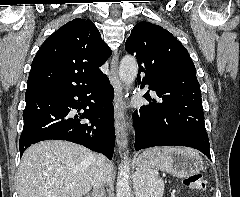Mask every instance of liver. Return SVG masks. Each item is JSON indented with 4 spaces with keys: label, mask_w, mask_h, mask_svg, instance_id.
I'll use <instances>...</instances> for the list:
<instances>
[{
    "label": "liver",
    "mask_w": 240,
    "mask_h": 197,
    "mask_svg": "<svg viewBox=\"0 0 240 197\" xmlns=\"http://www.w3.org/2000/svg\"><path fill=\"white\" fill-rule=\"evenodd\" d=\"M96 154L88 148L61 140L30 146L16 175L19 197H82L92 188ZM113 177L108 164L107 180Z\"/></svg>",
    "instance_id": "liver-1"
}]
</instances>
